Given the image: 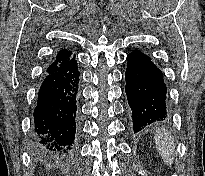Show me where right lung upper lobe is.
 I'll use <instances>...</instances> for the list:
<instances>
[{
    "label": "right lung upper lobe",
    "mask_w": 205,
    "mask_h": 176,
    "mask_svg": "<svg viewBox=\"0 0 205 176\" xmlns=\"http://www.w3.org/2000/svg\"><path fill=\"white\" fill-rule=\"evenodd\" d=\"M72 58V51L69 49H61L57 55L53 58V61L49 64L46 69V73L50 70L55 69L58 66H62Z\"/></svg>",
    "instance_id": "right-lung-upper-lobe-1"
}]
</instances>
